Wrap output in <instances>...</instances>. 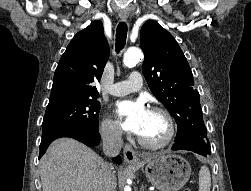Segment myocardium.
Returning <instances> with one entry per match:
<instances>
[{
  "instance_id": "1",
  "label": "myocardium",
  "mask_w": 251,
  "mask_h": 191,
  "mask_svg": "<svg viewBox=\"0 0 251 191\" xmlns=\"http://www.w3.org/2000/svg\"><path fill=\"white\" fill-rule=\"evenodd\" d=\"M150 112L157 113V114H160L161 116H163V118L165 119L166 124H167V135H166L165 139L159 143H151V142L147 141L146 139H144L140 135L137 136V140L141 146H143L144 148H147V149L158 150V149L165 148L173 142L174 137H175L174 119L169 111H167L166 109L161 108V107H152L150 109Z\"/></svg>"
}]
</instances>
